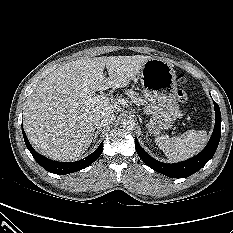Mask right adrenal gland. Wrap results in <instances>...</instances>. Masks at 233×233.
I'll return each mask as SVG.
<instances>
[{
    "instance_id": "right-adrenal-gland-1",
    "label": "right adrenal gland",
    "mask_w": 233,
    "mask_h": 233,
    "mask_svg": "<svg viewBox=\"0 0 233 233\" xmlns=\"http://www.w3.org/2000/svg\"><path fill=\"white\" fill-rule=\"evenodd\" d=\"M100 130H96L95 133H94V138H93V142L96 141L97 137H98V134H99Z\"/></svg>"
}]
</instances>
